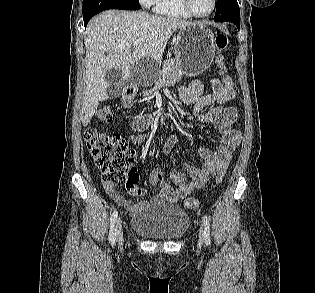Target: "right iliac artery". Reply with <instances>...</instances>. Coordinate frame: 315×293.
Listing matches in <instances>:
<instances>
[{
  "label": "right iliac artery",
  "mask_w": 315,
  "mask_h": 293,
  "mask_svg": "<svg viewBox=\"0 0 315 293\" xmlns=\"http://www.w3.org/2000/svg\"><path fill=\"white\" fill-rule=\"evenodd\" d=\"M118 217V212L114 211L110 218V233H109V242L113 245L116 239V230L115 223Z\"/></svg>",
  "instance_id": "1"
}]
</instances>
